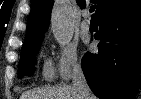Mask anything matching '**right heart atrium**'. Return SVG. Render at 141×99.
I'll return each mask as SVG.
<instances>
[{
	"mask_svg": "<svg viewBox=\"0 0 141 99\" xmlns=\"http://www.w3.org/2000/svg\"><path fill=\"white\" fill-rule=\"evenodd\" d=\"M81 69L82 59L77 46L70 43L60 46L55 64L57 77L62 81H68Z\"/></svg>",
	"mask_w": 141,
	"mask_h": 99,
	"instance_id": "right-heart-atrium-1",
	"label": "right heart atrium"
}]
</instances>
